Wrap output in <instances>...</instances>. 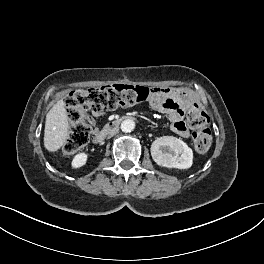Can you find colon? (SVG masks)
<instances>
[{
  "instance_id": "colon-1",
  "label": "colon",
  "mask_w": 264,
  "mask_h": 264,
  "mask_svg": "<svg viewBox=\"0 0 264 264\" xmlns=\"http://www.w3.org/2000/svg\"><path fill=\"white\" fill-rule=\"evenodd\" d=\"M151 89L127 84L106 85L71 91L65 103L70 118V132L63 146L66 155H72L85 146L90 139L91 126L85 120V112L113 110L130 107L147 100ZM187 123L194 130L192 140L198 152L209 149L212 141L208 128V116L196 105L191 104L187 110Z\"/></svg>"
}]
</instances>
